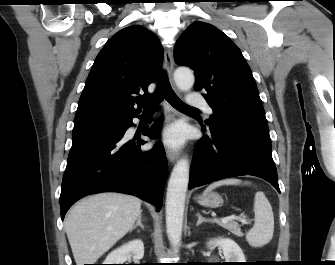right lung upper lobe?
<instances>
[{
	"label": "right lung upper lobe",
	"instance_id": "obj_1",
	"mask_svg": "<svg viewBox=\"0 0 335 265\" xmlns=\"http://www.w3.org/2000/svg\"><path fill=\"white\" fill-rule=\"evenodd\" d=\"M162 58V45L148 29L130 26L114 34L87 77L74 126L122 123L138 116L150 96L148 85L160 73Z\"/></svg>",
	"mask_w": 335,
	"mask_h": 265
}]
</instances>
